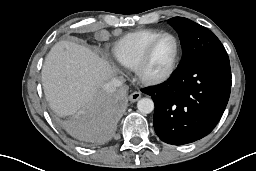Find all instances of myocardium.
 <instances>
[{
  "mask_svg": "<svg viewBox=\"0 0 256 171\" xmlns=\"http://www.w3.org/2000/svg\"><path fill=\"white\" fill-rule=\"evenodd\" d=\"M164 37H171L175 41L176 51H175L173 62L169 67V69L162 75L153 76V77L148 76L146 74L145 69L151 57L152 51L155 45ZM180 56H181V45L177 36H175L173 33H170V32H162L161 34L153 38L145 47L140 59L138 60L134 68L135 75L137 79L144 85H147V86L160 85L168 81L174 75L180 62Z\"/></svg>",
  "mask_w": 256,
  "mask_h": 171,
  "instance_id": "myocardium-1",
  "label": "myocardium"
}]
</instances>
